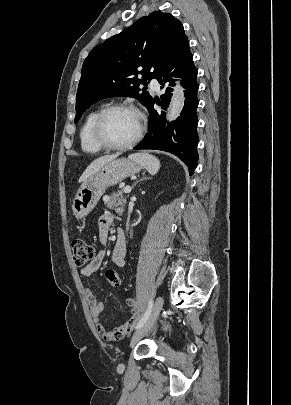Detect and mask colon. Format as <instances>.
<instances>
[{"label": "colon", "instance_id": "5ec220e1", "mask_svg": "<svg viewBox=\"0 0 291 405\" xmlns=\"http://www.w3.org/2000/svg\"><path fill=\"white\" fill-rule=\"evenodd\" d=\"M71 246L75 266L83 267L94 258L93 246L83 239L73 240ZM106 278L112 286L118 287L121 284V276L116 270H107Z\"/></svg>", "mask_w": 291, "mask_h": 405}]
</instances>
